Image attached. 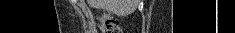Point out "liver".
Instances as JSON below:
<instances>
[{
	"label": "liver",
	"mask_w": 235,
	"mask_h": 33,
	"mask_svg": "<svg viewBox=\"0 0 235 33\" xmlns=\"http://www.w3.org/2000/svg\"><path fill=\"white\" fill-rule=\"evenodd\" d=\"M96 9L107 10L118 16H125L135 11L139 0H87Z\"/></svg>",
	"instance_id": "obj_1"
}]
</instances>
